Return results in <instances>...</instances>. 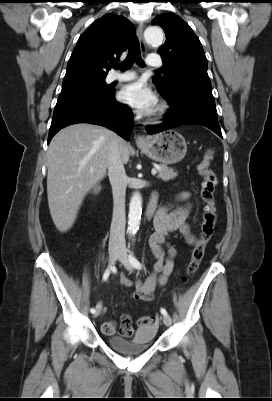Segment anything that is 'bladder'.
<instances>
[{
    "instance_id": "31cf9c89",
    "label": "bladder",
    "mask_w": 272,
    "mask_h": 401,
    "mask_svg": "<svg viewBox=\"0 0 272 401\" xmlns=\"http://www.w3.org/2000/svg\"><path fill=\"white\" fill-rule=\"evenodd\" d=\"M155 329L141 331L133 339L127 340L120 335H108V344L114 350L125 355H138L147 351L155 335Z\"/></svg>"
}]
</instances>
